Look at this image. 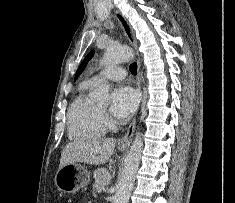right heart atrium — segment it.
Wrapping results in <instances>:
<instances>
[{
    "label": "right heart atrium",
    "mask_w": 235,
    "mask_h": 203,
    "mask_svg": "<svg viewBox=\"0 0 235 203\" xmlns=\"http://www.w3.org/2000/svg\"><path fill=\"white\" fill-rule=\"evenodd\" d=\"M102 116H103V119H104V120H106V119H107V117H106V115H105V114H102Z\"/></svg>",
    "instance_id": "1"
}]
</instances>
